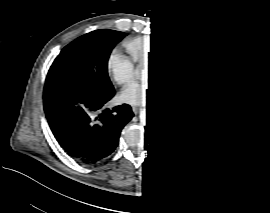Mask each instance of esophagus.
<instances>
[{"label": "esophagus", "instance_id": "esophagus-1", "mask_svg": "<svg viewBox=\"0 0 270 213\" xmlns=\"http://www.w3.org/2000/svg\"><path fill=\"white\" fill-rule=\"evenodd\" d=\"M132 110H133L134 113H137V111L139 110V108L136 107V106H132Z\"/></svg>", "mask_w": 270, "mask_h": 213}]
</instances>
